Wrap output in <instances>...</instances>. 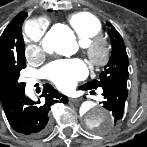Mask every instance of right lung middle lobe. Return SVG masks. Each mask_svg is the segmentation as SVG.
<instances>
[{
	"label": "right lung middle lobe",
	"instance_id": "right-lung-middle-lobe-1",
	"mask_svg": "<svg viewBox=\"0 0 147 147\" xmlns=\"http://www.w3.org/2000/svg\"><path fill=\"white\" fill-rule=\"evenodd\" d=\"M27 17V13L21 12L19 20V36L17 41V55L14 56L7 65L4 72L0 75V98L4 100L6 98L18 95L24 92L25 83L20 82V71L26 67L25 61V45L21 34V25L24 19Z\"/></svg>",
	"mask_w": 147,
	"mask_h": 147
}]
</instances>
